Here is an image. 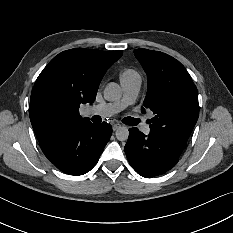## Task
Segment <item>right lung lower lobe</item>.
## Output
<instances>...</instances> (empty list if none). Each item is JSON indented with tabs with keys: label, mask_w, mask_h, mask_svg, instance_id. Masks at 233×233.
<instances>
[{
	"label": "right lung lower lobe",
	"mask_w": 233,
	"mask_h": 233,
	"mask_svg": "<svg viewBox=\"0 0 233 233\" xmlns=\"http://www.w3.org/2000/svg\"><path fill=\"white\" fill-rule=\"evenodd\" d=\"M112 134L106 122L72 125L38 140L45 156L62 172L82 175L97 163Z\"/></svg>",
	"instance_id": "98d812e1"
}]
</instances>
